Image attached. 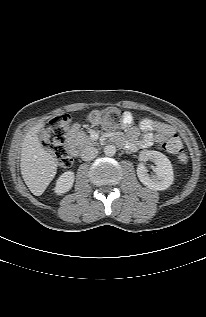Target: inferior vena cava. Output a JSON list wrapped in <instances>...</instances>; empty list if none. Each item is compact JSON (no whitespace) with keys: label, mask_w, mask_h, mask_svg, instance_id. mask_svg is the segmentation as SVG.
<instances>
[{"label":"inferior vena cava","mask_w":206,"mask_h":317,"mask_svg":"<svg viewBox=\"0 0 206 317\" xmlns=\"http://www.w3.org/2000/svg\"><path fill=\"white\" fill-rule=\"evenodd\" d=\"M98 154V150L95 147H85L81 152V158L84 161H89L94 159Z\"/></svg>","instance_id":"obj_1"}]
</instances>
